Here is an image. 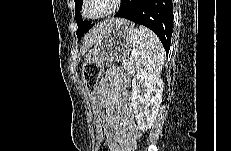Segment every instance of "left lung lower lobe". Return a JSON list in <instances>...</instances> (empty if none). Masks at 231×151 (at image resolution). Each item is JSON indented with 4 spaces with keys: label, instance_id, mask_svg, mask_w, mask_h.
Here are the masks:
<instances>
[{
    "label": "left lung lower lobe",
    "instance_id": "1",
    "mask_svg": "<svg viewBox=\"0 0 231 151\" xmlns=\"http://www.w3.org/2000/svg\"><path fill=\"white\" fill-rule=\"evenodd\" d=\"M114 17H121L151 29L161 40L166 53L169 52L173 3L171 0H134L130 6L121 7Z\"/></svg>",
    "mask_w": 231,
    "mask_h": 151
}]
</instances>
